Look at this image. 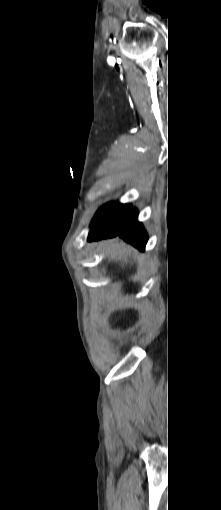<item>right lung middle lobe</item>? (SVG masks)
I'll use <instances>...</instances> for the list:
<instances>
[{
	"mask_svg": "<svg viewBox=\"0 0 221 510\" xmlns=\"http://www.w3.org/2000/svg\"><path fill=\"white\" fill-rule=\"evenodd\" d=\"M128 205L109 203L103 206L98 212L102 215H108L112 218H121L127 210Z\"/></svg>",
	"mask_w": 221,
	"mask_h": 510,
	"instance_id": "right-lung-middle-lobe-1",
	"label": "right lung middle lobe"
}]
</instances>
